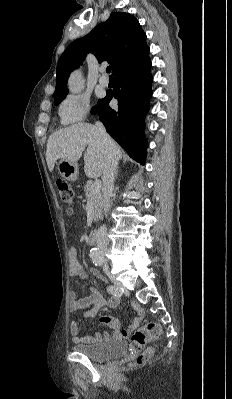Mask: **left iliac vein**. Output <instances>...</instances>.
Instances as JSON below:
<instances>
[{"label":"left iliac vein","mask_w":232,"mask_h":399,"mask_svg":"<svg viewBox=\"0 0 232 399\" xmlns=\"http://www.w3.org/2000/svg\"><path fill=\"white\" fill-rule=\"evenodd\" d=\"M103 272H104L105 275L109 274V266L108 265L104 266Z\"/></svg>","instance_id":"1"}]
</instances>
